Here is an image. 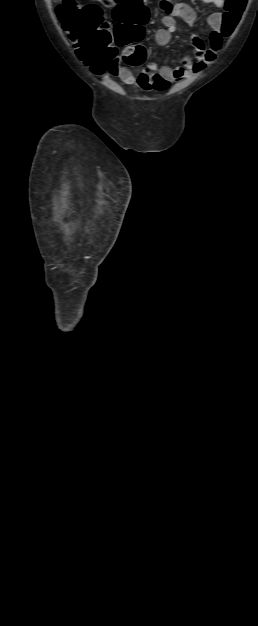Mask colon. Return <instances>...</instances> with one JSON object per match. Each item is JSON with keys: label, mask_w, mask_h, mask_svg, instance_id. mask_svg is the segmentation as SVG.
<instances>
[{"label": "colon", "mask_w": 258, "mask_h": 626, "mask_svg": "<svg viewBox=\"0 0 258 626\" xmlns=\"http://www.w3.org/2000/svg\"><path fill=\"white\" fill-rule=\"evenodd\" d=\"M106 7L115 8L116 25L113 31L104 20L97 4L80 6L75 0H62L56 13L74 44L79 59L94 73L106 71L118 59V47L124 46L122 59L131 65H140L146 57L145 48L138 44L144 35V24L149 10L144 0H101ZM247 0H225L222 34L229 36L244 11Z\"/></svg>", "instance_id": "5ec220e1"}]
</instances>
